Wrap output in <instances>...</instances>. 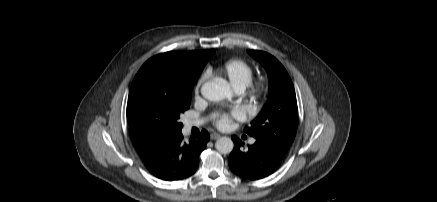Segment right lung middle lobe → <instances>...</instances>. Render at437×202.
Segmentation results:
<instances>
[{
    "mask_svg": "<svg viewBox=\"0 0 437 202\" xmlns=\"http://www.w3.org/2000/svg\"><path fill=\"white\" fill-rule=\"evenodd\" d=\"M207 62L199 69H188L172 52L146 61L129 92L130 132L153 140H169L181 133L180 115L189 109L192 89Z\"/></svg>",
    "mask_w": 437,
    "mask_h": 202,
    "instance_id": "right-lung-middle-lobe-1",
    "label": "right lung middle lobe"
}]
</instances>
